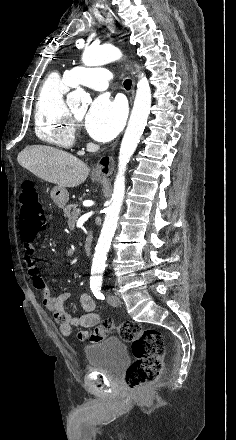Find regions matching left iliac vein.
<instances>
[{"instance_id": "4c4485c4", "label": "left iliac vein", "mask_w": 236, "mask_h": 440, "mask_svg": "<svg viewBox=\"0 0 236 440\" xmlns=\"http://www.w3.org/2000/svg\"><path fill=\"white\" fill-rule=\"evenodd\" d=\"M107 301L114 307H117L121 304V299L117 295H108Z\"/></svg>"}]
</instances>
